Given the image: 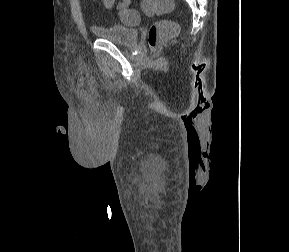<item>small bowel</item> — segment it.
<instances>
[{"label":"small bowel","instance_id":"c3829d8e","mask_svg":"<svg viewBox=\"0 0 289 252\" xmlns=\"http://www.w3.org/2000/svg\"><path fill=\"white\" fill-rule=\"evenodd\" d=\"M116 0H102L105 8L110 9L115 5Z\"/></svg>","mask_w":289,"mask_h":252}]
</instances>
